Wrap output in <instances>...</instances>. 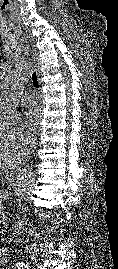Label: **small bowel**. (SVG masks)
I'll list each match as a JSON object with an SVG mask.
<instances>
[{
    "label": "small bowel",
    "instance_id": "1",
    "mask_svg": "<svg viewBox=\"0 0 118 269\" xmlns=\"http://www.w3.org/2000/svg\"><path fill=\"white\" fill-rule=\"evenodd\" d=\"M0 269H10V268H1V267H0Z\"/></svg>",
    "mask_w": 118,
    "mask_h": 269
}]
</instances>
